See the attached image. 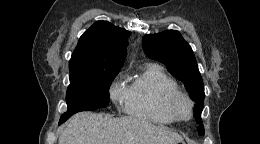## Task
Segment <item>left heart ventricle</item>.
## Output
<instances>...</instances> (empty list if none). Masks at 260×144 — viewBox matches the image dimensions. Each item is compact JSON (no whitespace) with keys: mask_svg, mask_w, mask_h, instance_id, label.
Masks as SVG:
<instances>
[{"mask_svg":"<svg viewBox=\"0 0 260 144\" xmlns=\"http://www.w3.org/2000/svg\"><path fill=\"white\" fill-rule=\"evenodd\" d=\"M176 111L181 117H186L189 113L188 103L184 100H179L176 103Z\"/></svg>","mask_w":260,"mask_h":144,"instance_id":"left-heart-ventricle-1","label":"left heart ventricle"}]
</instances>
